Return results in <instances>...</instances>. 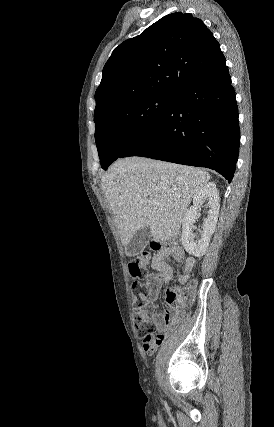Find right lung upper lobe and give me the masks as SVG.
<instances>
[{"label":"right lung upper lobe","instance_id":"right-lung-upper-lobe-1","mask_svg":"<svg viewBox=\"0 0 274 427\" xmlns=\"http://www.w3.org/2000/svg\"><path fill=\"white\" fill-rule=\"evenodd\" d=\"M225 66L220 45L202 20L190 13L166 15L115 48L95 93L94 117L133 96L173 95Z\"/></svg>","mask_w":274,"mask_h":427}]
</instances>
